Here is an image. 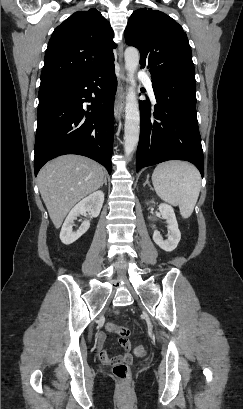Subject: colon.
Masks as SVG:
<instances>
[{
  "label": "colon",
  "mask_w": 243,
  "mask_h": 409,
  "mask_svg": "<svg viewBox=\"0 0 243 409\" xmlns=\"http://www.w3.org/2000/svg\"><path fill=\"white\" fill-rule=\"evenodd\" d=\"M107 329L110 332H114L120 340H125L130 335V330L125 327H119L113 323L107 324ZM146 353V349L142 345H137L135 348V354L142 356ZM113 375L115 378L121 382L126 387L129 384L131 378V370L127 363H119L113 368Z\"/></svg>",
  "instance_id": "colon-1"
}]
</instances>
